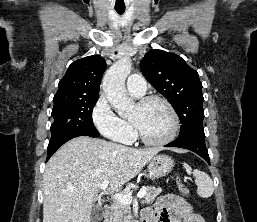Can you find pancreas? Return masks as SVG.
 <instances>
[{
	"label": "pancreas",
	"mask_w": 257,
	"mask_h": 222,
	"mask_svg": "<svg viewBox=\"0 0 257 222\" xmlns=\"http://www.w3.org/2000/svg\"><path fill=\"white\" fill-rule=\"evenodd\" d=\"M145 190L146 194L144 198L147 204L152 203L161 193V189L155 187H146ZM108 222H134L130 205H125L118 201H114L111 207Z\"/></svg>",
	"instance_id": "cf45deb5"
}]
</instances>
